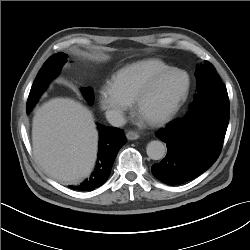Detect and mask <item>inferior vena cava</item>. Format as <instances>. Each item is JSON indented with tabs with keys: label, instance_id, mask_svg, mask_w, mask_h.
Segmentation results:
<instances>
[{
	"label": "inferior vena cava",
	"instance_id": "1",
	"mask_svg": "<svg viewBox=\"0 0 250 250\" xmlns=\"http://www.w3.org/2000/svg\"><path fill=\"white\" fill-rule=\"evenodd\" d=\"M106 119L115 127H121L126 123L124 115L119 110H107Z\"/></svg>",
	"mask_w": 250,
	"mask_h": 250
}]
</instances>
